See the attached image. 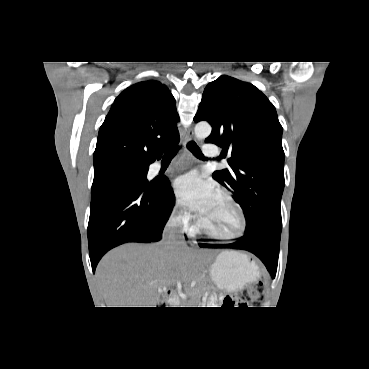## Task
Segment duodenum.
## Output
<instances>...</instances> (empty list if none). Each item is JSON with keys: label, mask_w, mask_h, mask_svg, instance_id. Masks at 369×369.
Here are the masks:
<instances>
[{"label": "duodenum", "mask_w": 369, "mask_h": 369, "mask_svg": "<svg viewBox=\"0 0 369 369\" xmlns=\"http://www.w3.org/2000/svg\"><path fill=\"white\" fill-rule=\"evenodd\" d=\"M173 297H174L173 292L171 290H168L167 291V298H168V300H173Z\"/></svg>", "instance_id": "1"}]
</instances>
